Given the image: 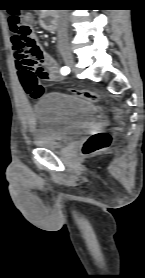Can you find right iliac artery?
<instances>
[{
    "instance_id": "82829eb1",
    "label": "right iliac artery",
    "mask_w": 145,
    "mask_h": 278,
    "mask_svg": "<svg viewBox=\"0 0 145 278\" xmlns=\"http://www.w3.org/2000/svg\"><path fill=\"white\" fill-rule=\"evenodd\" d=\"M69 72H70V68H69V67L63 66V67L61 68V74H62V75H67V74H69Z\"/></svg>"
}]
</instances>
